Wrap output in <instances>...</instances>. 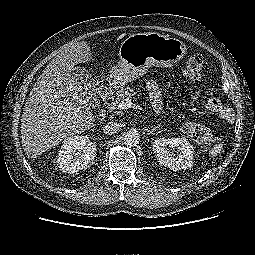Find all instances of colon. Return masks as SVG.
Segmentation results:
<instances>
[{"label":"colon","mask_w":255,"mask_h":255,"mask_svg":"<svg viewBox=\"0 0 255 255\" xmlns=\"http://www.w3.org/2000/svg\"><path fill=\"white\" fill-rule=\"evenodd\" d=\"M203 63V57L200 54H192L185 62L182 71L183 78L191 82L199 81ZM218 103L219 100L216 98L210 100V106L212 107H216ZM181 130L198 143H209L213 140V134L209 128L194 122H184L181 126Z\"/></svg>","instance_id":"5ec220e1"}]
</instances>
